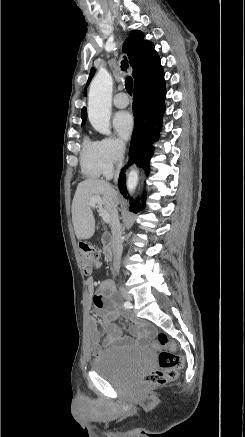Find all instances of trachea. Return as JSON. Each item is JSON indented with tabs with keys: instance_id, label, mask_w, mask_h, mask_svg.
<instances>
[{
	"instance_id": "obj_1",
	"label": "trachea",
	"mask_w": 245,
	"mask_h": 437,
	"mask_svg": "<svg viewBox=\"0 0 245 437\" xmlns=\"http://www.w3.org/2000/svg\"><path fill=\"white\" fill-rule=\"evenodd\" d=\"M127 68H128V62H127V59H124L122 61L121 69L123 71H125ZM125 88H126V91L128 92V94L132 96V93H133V79H132V77L128 76L126 78Z\"/></svg>"
}]
</instances>
